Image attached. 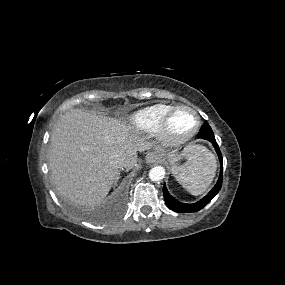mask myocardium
I'll return each instance as SVG.
<instances>
[{"label":"myocardium","mask_w":285,"mask_h":285,"mask_svg":"<svg viewBox=\"0 0 285 285\" xmlns=\"http://www.w3.org/2000/svg\"><path fill=\"white\" fill-rule=\"evenodd\" d=\"M189 112L195 117V124L190 131L185 134L177 135L171 130V122L173 117L179 112ZM201 126V118L196 110L186 105L173 107L164 117L157 133L159 140L168 146H178L192 139L199 131Z\"/></svg>","instance_id":"obj_1"}]
</instances>
